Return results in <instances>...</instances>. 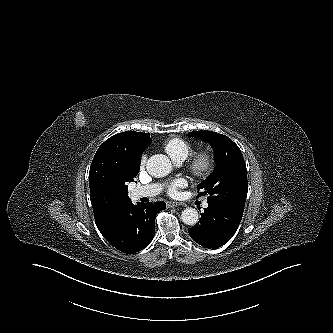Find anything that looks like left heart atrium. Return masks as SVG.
Returning <instances> with one entry per match:
<instances>
[{
	"label": "left heart atrium",
	"instance_id": "obj_1",
	"mask_svg": "<svg viewBox=\"0 0 333 333\" xmlns=\"http://www.w3.org/2000/svg\"><path fill=\"white\" fill-rule=\"evenodd\" d=\"M185 185H186V180L183 178H178L170 183L168 187V193L170 195H176L178 189L184 187Z\"/></svg>",
	"mask_w": 333,
	"mask_h": 333
}]
</instances>
